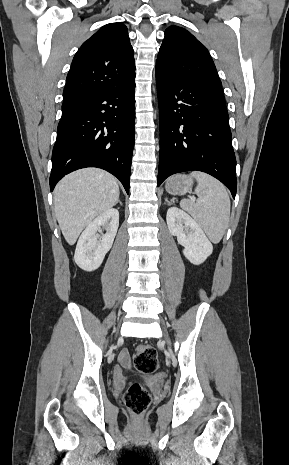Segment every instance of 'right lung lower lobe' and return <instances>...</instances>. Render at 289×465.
Returning a JSON list of instances; mask_svg holds the SVG:
<instances>
[{"instance_id":"right-lung-lower-lobe-1","label":"right lung lower lobe","mask_w":289,"mask_h":465,"mask_svg":"<svg viewBox=\"0 0 289 465\" xmlns=\"http://www.w3.org/2000/svg\"><path fill=\"white\" fill-rule=\"evenodd\" d=\"M134 94L135 76L120 87L84 98L61 118L52 153L51 191L66 174L98 167L116 176L129 193Z\"/></svg>"}]
</instances>
